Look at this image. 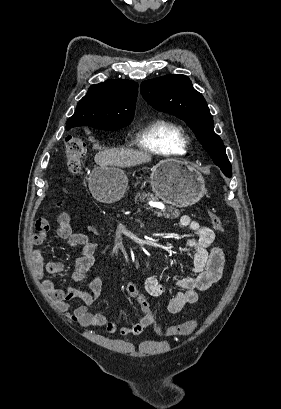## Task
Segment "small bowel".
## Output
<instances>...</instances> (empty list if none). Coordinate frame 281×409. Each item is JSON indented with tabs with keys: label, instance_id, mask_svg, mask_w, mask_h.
Returning <instances> with one entry per match:
<instances>
[{
	"label": "small bowel",
	"instance_id": "small-bowel-1",
	"mask_svg": "<svg viewBox=\"0 0 281 409\" xmlns=\"http://www.w3.org/2000/svg\"><path fill=\"white\" fill-rule=\"evenodd\" d=\"M58 224V240L81 250V255L75 262L72 281L74 284L87 281L90 288V291L75 286L63 289L57 287L52 280L44 279L42 281L43 289L57 304L58 309L64 312L70 320L79 323L83 327H105L108 333H119L123 336H137L156 323V315L150 304L139 293L137 285L132 282L125 286V290L129 296L137 300L141 307L143 317L139 321L121 325L114 318L89 311L88 307L97 301L102 291V281L98 277H89L87 275V270L95 259L97 244L89 241L85 234L72 231L70 217L66 212L60 214ZM180 224L195 234L188 241V246L193 250L194 256L191 266L192 275L177 282L182 290L167 305V310L172 315L179 313L185 305L196 303L199 292L209 289L220 280L225 265L224 252L214 245L215 235L211 228L200 225L188 215L180 218ZM33 228L34 234L31 235L30 242L33 245H40L50 231V222H45V217L39 216L38 222H34ZM32 256L40 278H42L43 272L54 275L64 270L62 262L47 261L44 252L40 249H35ZM144 287L152 296L161 295L163 290L162 285L154 276L145 279ZM76 298L81 299L83 304L70 312L71 301Z\"/></svg>",
	"mask_w": 281,
	"mask_h": 409
}]
</instances>
